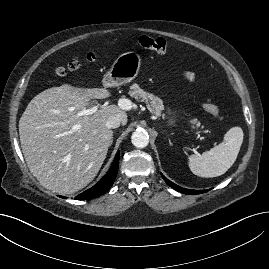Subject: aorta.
<instances>
[{"mask_svg":"<svg viewBox=\"0 0 269 269\" xmlns=\"http://www.w3.org/2000/svg\"><path fill=\"white\" fill-rule=\"evenodd\" d=\"M131 142L136 148H144L149 143L148 133L144 130H136L132 133Z\"/></svg>","mask_w":269,"mask_h":269,"instance_id":"aorta-1","label":"aorta"}]
</instances>
